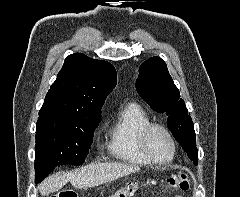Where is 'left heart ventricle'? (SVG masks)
<instances>
[{"label": "left heart ventricle", "mask_w": 240, "mask_h": 197, "mask_svg": "<svg viewBox=\"0 0 240 197\" xmlns=\"http://www.w3.org/2000/svg\"><path fill=\"white\" fill-rule=\"evenodd\" d=\"M149 147L158 160L165 161L171 157L172 144L167 135L160 129H155L149 136Z\"/></svg>", "instance_id": "b2bd125f"}]
</instances>
